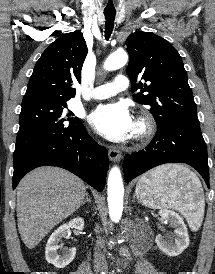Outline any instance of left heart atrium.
Wrapping results in <instances>:
<instances>
[{"label":"left heart atrium","instance_id":"obj_1","mask_svg":"<svg viewBox=\"0 0 215 274\" xmlns=\"http://www.w3.org/2000/svg\"><path fill=\"white\" fill-rule=\"evenodd\" d=\"M90 124L111 141H123L134 132L135 122L124 103L100 105L90 115Z\"/></svg>","mask_w":215,"mask_h":274}]
</instances>
